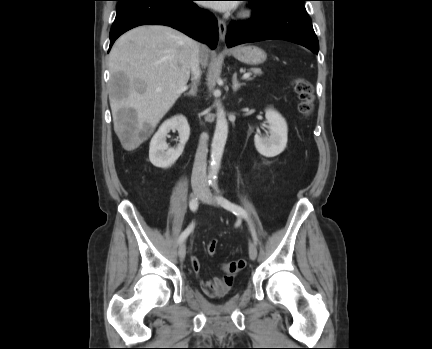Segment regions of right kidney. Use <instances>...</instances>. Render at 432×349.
<instances>
[{
    "mask_svg": "<svg viewBox=\"0 0 432 349\" xmlns=\"http://www.w3.org/2000/svg\"><path fill=\"white\" fill-rule=\"evenodd\" d=\"M170 130H177L179 134V144L175 148H169L166 143V136ZM189 136L190 127L184 116L178 115L166 120L151 139L149 147L150 162L159 168L171 167L182 155Z\"/></svg>",
    "mask_w": 432,
    "mask_h": 349,
    "instance_id": "right-kidney-1",
    "label": "right kidney"
}]
</instances>
